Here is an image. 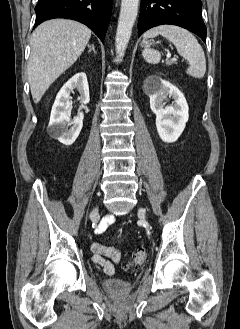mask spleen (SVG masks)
Returning a JSON list of instances; mask_svg holds the SVG:
<instances>
[{
  "mask_svg": "<svg viewBox=\"0 0 240 329\" xmlns=\"http://www.w3.org/2000/svg\"><path fill=\"white\" fill-rule=\"evenodd\" d=\"M161 35L172 42L178 53L189 63L186 73L194 78H202L206 72L204 51L192 33L178 26L161 25L145 32L144 38ZM144 59L151 64L159 63L161 54L153 49L145 48Z\"/></svg>",
  "mask_w": 240,
  "mask_h": 329,
  "instance_id": "spleen-1",
  "label": "spleen"
}]
</instances>
